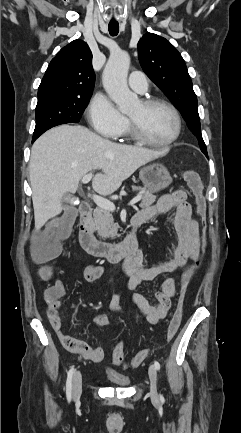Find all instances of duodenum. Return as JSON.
<instances>
[{"mask_svg":"<svg viewBox=\"0 0 241 433\" xmlns=\"http://www.w3.org/2000/svg\"><path fill=\"white\" fill-rule=\"evenodd\" d=\"M93 206L83 202L80 206L79 241L82 248L89 254L104 258L110 262L130 259L138 253V229L145 223V218L135 215L131 220V231L120 243H108L98 240L92 231Z\"/></svg>","mask_w":241,"mask_h":433,"instance_id":"1","label":"duodenum"}]
</instances>
